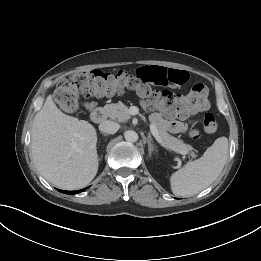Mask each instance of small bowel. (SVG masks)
I'll return each mask as SVG.
<instances>
[{
    "label": "small bowel",
    "instance_id": "small-bowel-1",
    "mask_svg": "<svg viewBox=\"0 0 261 261\" xmlns=\"http://www.w3.org/2000/svg\"><path fill=\"white\" fill-rule=\"evenodd\" d=\"M138 73L145 82L161 86H180L186 83L189 79V74L186 71L170 69L157 65L144 66L139 69ZM93 105V102L86 104L89 108L93 107ZM187 118L188 115L181 116L180 119H165L158 112L151 114V120L153 123L171 133L185 132L188 128L186 122Z\"/></svg>",
    "mask_w": 261,
    "mask_h": 261
}]
</instances>
